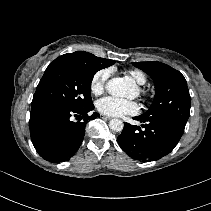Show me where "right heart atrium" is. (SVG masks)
Segmentation results:
<instances>
[{"instance_id": "1", "label": "right heart atrium", "mask_w": 211, "mask_h": 211, "mask_svg": "<svg viewBox=\"0 0 211 211\" xmlns=\"http://www.w3.org/2000/svg\"><path fill=\"white\" fill-rule=\"evenodd\" d=\"M110 76V69L104 68L97 71L90 82V89L94 94H100L104 91L107 80Z\"/></svg>"}]
</instances>
